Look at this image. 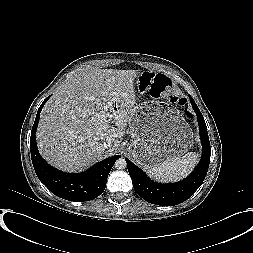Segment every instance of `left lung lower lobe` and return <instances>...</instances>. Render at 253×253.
Masks as SVG:
<instances>
[{
  "mask_svg": "<svg viewBox=\"0 0 253 253\" xmlns=\"http://www.w3.org/2000/svg\"><path fill=\"white\" fill-rule=\"evenodd\" d=\"M189 98L197 115L203 151L199 164L186 179L177 183L160 184L150 180L142 170L126 159L134 190L139 196L149 203L162 206L180 204L194 194V192L202 184L207 174L211 155L207 127L195 101L191 96H189Z\"/></svg>",
  "mask_w": 253,
  "mask_h": 253,
  "instance_id": "left-lung-lower-lobe-1",
  "label": "left lung lower lobe"
}]
</instances>
